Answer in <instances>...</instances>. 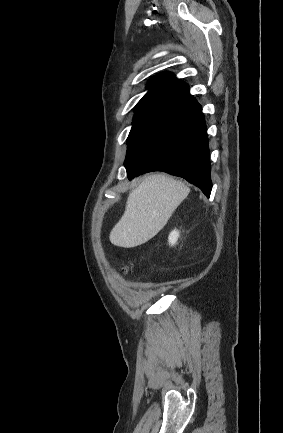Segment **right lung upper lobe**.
Segmentation results:
<instances>
[{"mask_svg":"<svg viewBox=\"0 0 283 433\" xmlns=\"http://www.w3.org/2000/svg\"><path fill=\"white\" fill-rule=\"evenodd\" d=\"M149 91L136 105V111L163 114L169 109L192 98L189 86L170 73H161L150 79Z\"/></svg>","mask_w":283,"mask_h":433,"instance_id":"1","label":"right lung upper lobe"}]
</instances>
